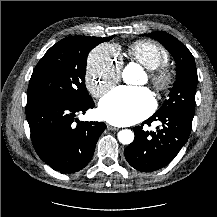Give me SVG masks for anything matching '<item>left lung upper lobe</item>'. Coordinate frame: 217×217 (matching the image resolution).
<instances>
[{
	"mask_svg": "<svg viewBox=\"0 0 217 217\" xmlns=\"http://www.w3.org/2000/svg\"><path fill=\"white\" fill-rule=\"evenodd\" d=\"M146 36L158 40L173 56L176 62L177 78L171 89L169 99L154 114L169 111L195 113V93L198 82L195 60L188 48L172 35L165 32H153Z\"/></svg>",
	"mask_w": 217,
	"mask_h": 217,
	"instance_id": "obj_1",
	"label": "left lung upper lobe"
}]
</instances>
